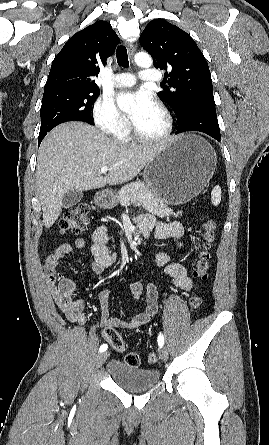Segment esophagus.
Instances as JSON below:
<instances>
[{
    "label": "esophagus",
    "mask_w": 269,
    "mask_h": 445,
    "mask_svg": "<svg viewBox=\"0 0 269 445\" xmlns=\"http://www.w3.org/2000/svg\"><path fill=\"white\" fill-rule=\"evenodd\" d=\"M126 47L128 49L129 55L131 57H133L134 53H135V47L132 43H126Z\"/></svg>",
    "instance_id": "34e87169"
}]
</instances>
